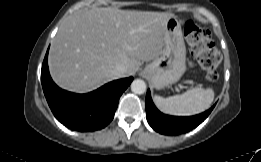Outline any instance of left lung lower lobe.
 <instances>
[{"label": "left lung lower lobe", "mask_w": 261, "mask_h": 162, "mask_svg": "<svg viewBox=\"0 0 261 162\" xmlns=\"http://www.w3.org/2000/svg\"><path fill=\"white\" fill-rule=\"evenodd\" d=\"M145 108L147 121L155 131L164 135H179L194 129L201 124L209 116L214 106L195 116H169L161 113L155 107L151 99L150 91L148 90L146 94Z\"/></svg>", "instance_id": "obj_1"}]
</instances>
